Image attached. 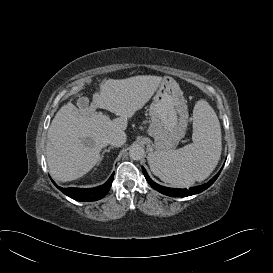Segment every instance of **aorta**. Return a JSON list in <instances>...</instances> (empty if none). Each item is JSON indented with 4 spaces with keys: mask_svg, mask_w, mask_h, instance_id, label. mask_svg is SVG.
<instances>
[{
    "mask_svg": "<svg viewBox=\"0 0 273 273\" xmlns=\"http://www.w3.org/2000/svg\"><path fill=\"white\" fill-rule=\"evenodd\" d=\"M129 155L132 160H141L145 156L144 147L140 144H134L129 150Z\"/></svg>",
    "mask_w": 273,
    "mask_h": 273,
    "instance_id": "762f6f07",
    "label": "aorta"
}]
</instances>
